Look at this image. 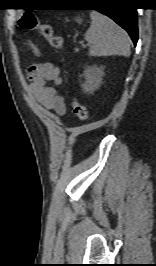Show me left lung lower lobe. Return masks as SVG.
<instances>
[{"label": "left lung lower lobe", "instance_id": "left-lung-lower-lobe-1", "mask_svg": "<svg viewBox=\"0 0 156 266\" xmlns=\"http://www.w3.org/2000/svg\"><path fill=\"white\" fill-rule=\"evenodd\" d=\"M113 1L115 2V0H90L89 4L96 6L92 9L107 15L125 29L136 45L138 40L136 8L130 7L125 0H118L120 1L118 6L112 4Z\"/></svg>", "mask_w": 156, "mask_h": 266}]
</instances>
